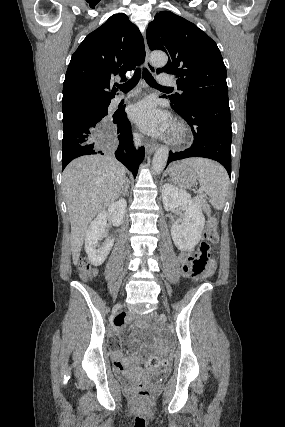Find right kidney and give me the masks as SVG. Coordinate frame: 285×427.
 Instances as JSON below:
<instances>
[{
  "mask_svg": "<svg viewBox=\"0 0 285 427\" xmlns=\"http://www.w3.org/2000/svg\"><path fill=\"white\" fill-rule=\"evenodd\" d=\"M126 207V200L120 199L91 222L85 235V251L94 266H100L105 261L114 244V239L107 237V219L110 218L113 226L118 227L123 221ZM103 238L106 239L100 245L99 241Z\"/></svg>",
  "mask_w": 285,
  "mask_h": 427,
  "instance_id": "right-kidney-1",
  "label": "right kidney"
}]
</instances>
